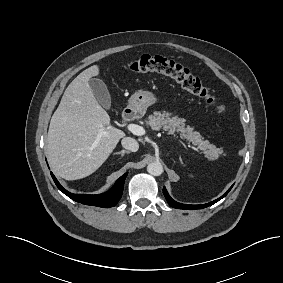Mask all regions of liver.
Here are the masks:
<instances>
[{
  "mask_svg": "<svg viewBox=\"0 0 283 283\" xmlns=\"http://www.w3.org/2000/svg\"><path fill=\"white\" fill-rule=\"evenodd\" d=\"M99 71V66L93 65L68 85L50 121L48 160L52 170L66 180L94 173L125 136L110 124L89 85Z\"/></svg>",
  "mask_w": 283,
  "mask_h": 283,
  "instance_id": "1",
  "label": "liver"
}]
</instances>
